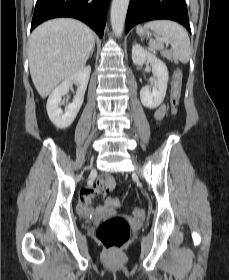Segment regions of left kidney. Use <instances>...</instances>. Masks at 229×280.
Returning a JSON list of instances; mask_svg holds the SVG:
<instances>
[{"instance_id":"5707ae66","label":"left kidney","mask_w":229,"mask_h":280,"mask_svg":"<svg viewBox=\"0 0 229 280\" xmlns=\"http://www.w3.org/2000/svg\"><path fill=\"white\" fill-rule=\"evenodd\" d=\"M132 60L138 66H142L145 62L150 63L152 66V72L156 77V81L152 85V91L149 86L141 89L140 99L145 107L155 109L163 102L166 95L169 79L167 66L154 54L148 52L138 44L132 47Z\"/></svg>"}]
</instances>
